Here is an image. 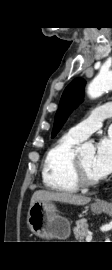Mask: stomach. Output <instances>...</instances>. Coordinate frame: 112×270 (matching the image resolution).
<instances>
[{"instance_id":"stomach-1","label":"stomach","mask_w":112,"mask_h":270,"mask_svg":"<svg viewBox=\"0 0 112 270\" xmlns=\"http://www.w3.org/2000/svg\"><path fill=\"white\" fill-rule=\"evenodd\" d=\"M91 210L100 214L103 206L91 205ZM30 230L41 238L66 239L70 235V222L59 215L54 203L51 201H36L30 206L27 216Z\"/></svg>"}]
</instances>
